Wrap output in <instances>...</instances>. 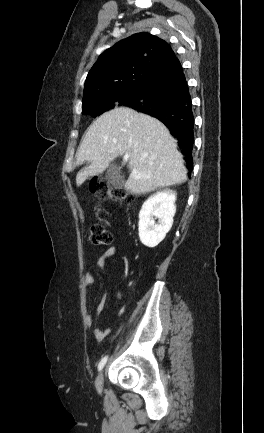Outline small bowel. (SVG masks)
Returning <instances> with one entry per match:
<instances>
[{"instance_id": "small-bowel-1", "label": "small bowel", "mask_w": 264, "mask_h": 433, "mask_svg": "<svg viewBox=\"0 0 264 433\" xmlns=\"http://www.w3.org/2000/svg\"><path fill=\"white\" fill-rule=\"evenodd\" d=\"M116 253V249L115 247H110L107 250H105L98 258L97 260V264L100 267H104L106 261L111 258L112 256H114ZM94 282V277L92 275L91 272H86L84 274V283L86 285H91ZM116 297L117 299H121V293L118 291L116 293ZM105 307V295L102 294V296L100 297V300L98 302V306H97V315L100 314L103 309ZM124 312L123 308H120L118 310V314L121 315ZM86 322L89 326H92L95 323V318L92 315H88L86 318ZM111 333V329L110 328H101V327H95L94 329V336L95 339L98 342H101L104 340L105 337H107L109 334Z\"/></svg>"}]
</instances>
